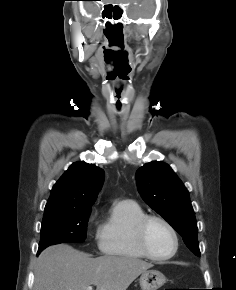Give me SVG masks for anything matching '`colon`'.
Here are the masks:
<instances>
[{
    "mask_svg": "<svg viewBox=\"0 0 236 290\" xmlns=\"http://www.w3.org/2000/svg\"><path fill=\"white\" fill-rule=\"evenodd\" d=\"M164 290H177V289H169V288H166V289H164Z\"/></svg>",
    "mask_w": 236,
    "mask_h": 290,
    "instance_id": "1",
    "label": "colon"
}]
</instances>
